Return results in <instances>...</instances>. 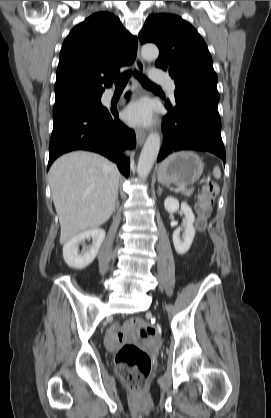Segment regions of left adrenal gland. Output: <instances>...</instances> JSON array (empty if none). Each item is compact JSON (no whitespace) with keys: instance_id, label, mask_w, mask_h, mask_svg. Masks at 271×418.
I'll list each match as a JSON object with an SVG mask.
<instances>
[{"instance_id":"a2214340","label":"left adrenal gland","mask_w":271,"mask_h":418,"mask_svg":"<svg viewBox=\"0 0 271 418\" xmlns=\"http://www.w3.org/2000/svg\"><path fill=\"white\" fill-rule=\"evenodd\" d=\"M162 194V188L160 187V185H158V195Z\"/></svg>"}]
</instances>
